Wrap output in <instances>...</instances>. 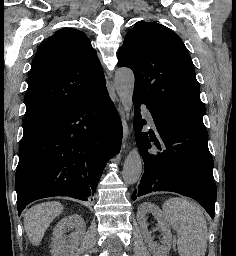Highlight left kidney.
<instances>
[{
    "instance_id": "1",
    "label": "left kidney",
    "mask_w": 236,
    "mask_h": 256,
    "mask_svg": "<svg viewBox=\"0 0 236 256\" xmlns=\"http://www.w3.org/2000/svg\"><path fill=\"white\" fill-rule=\"evenodd\" d=\"M147 212L153 214L154 218L158 220V230H161L163 236L162 246H159L157 242H153L152 238H150V234L147 230L148 224H146ZM137 222L140 226L145 244L152 256H168L171 250L170 226L166 222L165 214L159 210L158 206L151 204V202H143L137 210Z\"/></svg>"
}]
</instances>
